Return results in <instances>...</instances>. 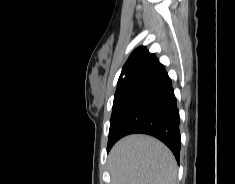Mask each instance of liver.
Wrapping results in <instances>:
<instances>
[{
  "label": "liver",
  "instance_id": "6515ba94",
  "mask_svg": "<svg viewBox=\"0 0 235 184\" xmlns=\"http://www.w3.org/2000/svg\"><path fill=\"white\" fill-rule=\"evenodd\" d=\"M111 184H177V164L169 148L145 134L116 142L108 156Z\"/></svg>",
  "mask_w": 235,
  "mask_h": 184
}]
</instances>
